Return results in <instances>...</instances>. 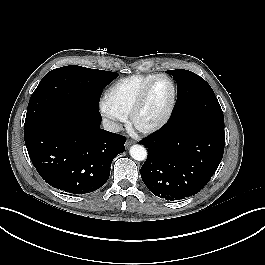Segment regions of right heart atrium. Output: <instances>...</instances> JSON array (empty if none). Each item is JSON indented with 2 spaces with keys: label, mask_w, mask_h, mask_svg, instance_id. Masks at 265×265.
<instances>
[{
  "label": "right heart atrium",
  "mask_w": 265,
  "mask_h": 265,
  "mask_svg": "<svg viewBox=\"0 0 265 265\" xmlns=\"http://www.w3.org/2000/svg\"><path fill=\"white\" fill-rule=\"evenodd\" d=\"M101 112L108 119L112 131H117L120 123L125 121L124 116L113 111L105 102L101 104Z\"/></svg>",
  "instance_id": "d8ad5b80"
}]
</instances>
